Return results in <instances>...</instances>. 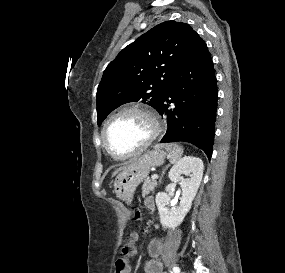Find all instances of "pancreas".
Here are the masks:
<instances>
[{"mask_svg": "<svg viewBox=\"0 0 285 273\" xmlns=\"http://www.w3.org/2000/svg\"><path fill=\"white\" fill-rule=\"evenodd\" d=\"M156 186L157 182L155 180L146 179L142 186V196H146L150 192H154Z\"/></svg>", "mask_w": 285, "mask_h": 273, "instance_id": "pancreas-1", "label": "pancreas"}]
</instances>
